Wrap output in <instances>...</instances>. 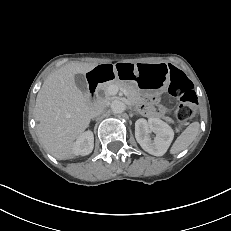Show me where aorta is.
<instances>
[{
  "label": "aorta",
  "mask_w": 231,
  "mask_h": 231,
  "mask_svg": "<svg viewBox=\"0 0 231 231\" xmlns=\"http://www.w3.org/2000/svg\"><path fill=\"white\" fill-rule=\"evenodd\" d=\"M111 110L115 114H120L125 110V104L120 100H114L111 102Z\"/></svg>",
  "instance_id": "1"
}]
</instances>
